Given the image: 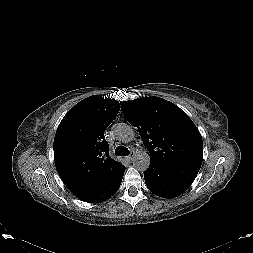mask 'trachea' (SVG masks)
<instances>
[{"label": "trachea", "instance_id": "3493384b", "mask_svg": "<svg viewBox=\"0 0 253 253\" xmlns=\"http://www.w3.org/2000/svg\"><path fill=\"white\" fill-rule=\"evenodd\" d=\"M130 154L128 148H126L125 146H118L115 149V155L117 156H128Z\"/></svg>", "mask_w": 253, "mask_h": 253}]
</instances>
